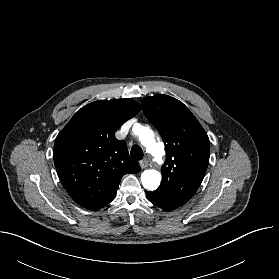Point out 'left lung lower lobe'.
<instances>
[{
	"label": "left lung lower lobe",
	"mask_w": 279,
	"mask_h": 279,
	"mask_svg": "<svg viewBox=\"0 0 279 279\" xmlns=\"http://www.w3.org/2000/svg\"><path fill=\"white\" fill-rule=\"evenodd\" d=\"M146 195L150 202H152L153 204L165 211H172L186 203L179 200L166 199L147 191Z\"/></svg>",
	"instance_id": "0a47b994"
}]
</instances>
